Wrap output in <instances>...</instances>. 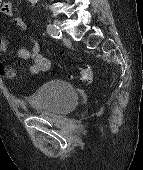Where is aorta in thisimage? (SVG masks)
Segmentation results:
<instances>
[{
    "instance_id": "1",
    "label": "aorta",
    "mask_w": 143,
    "mask_h": 170,
    "mask_svg": "<svg viewBox=\"0 0 143 170\" xmlns=\"http://www.w3.org/2000/svg\"><path fill=\"white\" fill-rule=\"evenodd\" d=\"M37 1H38V0H29V2H30L31 4H35V3H37Z\"/></svg>"
}]
</instances>
